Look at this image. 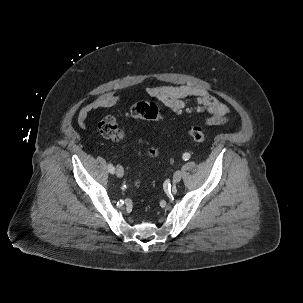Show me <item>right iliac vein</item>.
I'll use <instances>...</instances> for the list:
<instances>
[{
  "mask_svg": "<svg viewBox=\"0 0 303 303\" xmlns=\"http://www.w3.org/2000/svg\"><path fill=\"white\" fill-rule=\"evenodd\" d=\"M116 175L120 178L123 177L124 170H123L122 166H120V165L116 166Z\"/></svg>",
  "mask_w": 303,
  "mask_h": 303,
  "instance_id": "63e3f726",
  "label": "right iliac vein"
}]
</instances>
